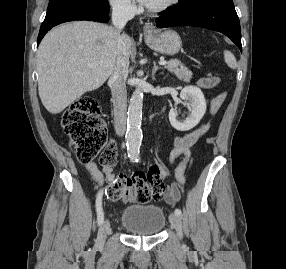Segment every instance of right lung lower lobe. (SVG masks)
<instances>
[{
    "label": "right lung lower lobe",
    "instance_id": "obj_1",
    "mask_svg": "<svg viewBox=\"0 0 286 269\" xmlns=\"http://www.w3.org/2000/svg\"><path fill=\"white\" fill-rule=\"evenodd\" d=\"M108 14L109 12H102L92 8L76 7L48 15L40 27L37 45H39L44 35L58 24L73 20H89L105 23L109 21Z\"/></svg>",
    "mask_w": 286,
    "mask_h": 269
}]
</instances>
